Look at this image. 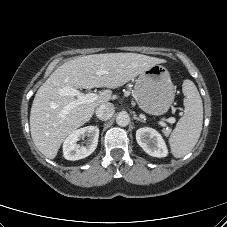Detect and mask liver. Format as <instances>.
<instances>
[{
  "label": "liver",
  "instance_id": "obj_1",
  "mask_svg": "<svg viewBox=\"0 0 227 227\" xmlns=\"http://www.w3.org/2000/svg\"><path fill=\"white\" fill-rule=\"evenodd\" d=\"M164 60L137 53H105L69 60L59 66L38 89L30 112V131L37 149L54 159L65 140L77 128L88 122L100 104L108 103L112 91L123 86L153 65ZM105 71L99 74V71ZM92 89L106 87L97 100L85 103L63 114L64 107L75 96H61L60 89Z\"/></svg>",
  "mask_w": 227,
  "mask_h": 227
}]
</instances>
